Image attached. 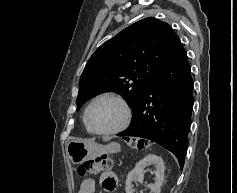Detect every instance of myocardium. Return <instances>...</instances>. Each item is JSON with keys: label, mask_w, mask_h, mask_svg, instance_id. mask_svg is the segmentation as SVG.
<instances>
[{"label": "myocardium", "mask_w": 237, "mask_h": 193, "mask_svg": "<svg viewBox=\"0 0 237 193\" xmlns=\"http://www.w3.org/2000/svg\"><path fill=\"white\" fill-rule=\"evenodd\" d=\"M103 99H111V100L116 101L117 103L120 104V106L122 107V109L124 111L123 121L116 128H113V129H110V130H98L90 122V111H91L92 107L98 101L103 100ZM132 117H133V113H132V109L129 106V104L120 95H117V94H114V93H104V94H101V95L97 96L95 99H93L89 103V105L87 106L86 111H85L86 125L88 126V128L90 129V131L92 133L97 134V135L108 136V135H115V134L123 132L124 130H126L129 127V125L132 121Z\"/></svg>", "instance_id": "myocardium-1"}]
</instances>
